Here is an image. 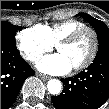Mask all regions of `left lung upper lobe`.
Returning a JSON list of instances; mask_svg holds the SVG:
<instances>
[{
	"instance_id": "5c2ea615",
	"label": "left lung upper lobe",
	"mask_w": 109,
	"mask_h": 109,
	"mask_svg": "<svg viewBox=\"0 0 109 109\" xmlns=\"http://www.w3.org/2000/svg\"><path fill=\"white\" fill-rule=\"evenodd\" d=\"M82 18L89 22L95 29L98 37V52L109 50V29L106 24L98 19L93 18L92 16L86 13H79ZM71 95H76L73 92H70Z\"/></svg>"
}]
</instances>
